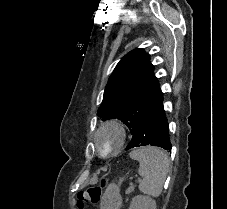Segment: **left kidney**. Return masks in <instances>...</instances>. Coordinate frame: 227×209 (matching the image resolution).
Instances as JSON below:
<instances>
[{
    "label": "left kidney",
    "mask_w": 227,
    "mask_h": 209,
    "mask_svg": "<svg viewBox=\"0 0 227 209\" xmlns=\"http://www.w3.org/2000/svg\"><path fill=\"white\" fill-rule=\"evenodd\" d=\"M129 209H156V201H153L150 197L137 195L132 199Z\"/></svg>",
    "instance_id": "obj_1"
}]
</instances>
